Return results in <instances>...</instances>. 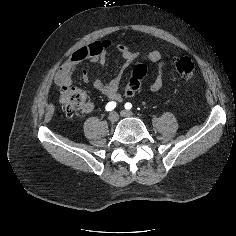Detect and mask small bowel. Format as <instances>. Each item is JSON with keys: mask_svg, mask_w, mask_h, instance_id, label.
I'll list each match as a JSON object with an SVG mask.
<instances>
[{"mask_svg": "<svg viewBox=\"0 0 236 236\" xmlns=\"http://www.w3.org/2000/svg\"><path fill=\"white\" fill-rule=\"evenodd\" d=\"M113 46L111 40L94 41L85 47H82L75 51L60 67L56 74L55 82L59 86L69 85L72 80L73 73L77 70L81 62L90 61L92 64L99 67L103 66L106 61V55L108 50ZM116 49L121 55L124 63L118 73V75L109 82H104L98 78H91L87 71L82 74V80L91 84L96 90L102 93L110 101H119L123 96H132L135 91L124 90V93H120V84L123 73L128 66L137 58V53L130 49L125 44L116 45ZM149 60L156 65V76L151 82L149 88L152 92H157L162 87L163 71L165 62L158 50H151L148 53ZM84 113H90L94 110V104L88 102L83 107Z\"/></svg>", "mask_w": 236, "mask_h": 236, "instance_id": "1", "label": "small bowel"}]
</instances>
